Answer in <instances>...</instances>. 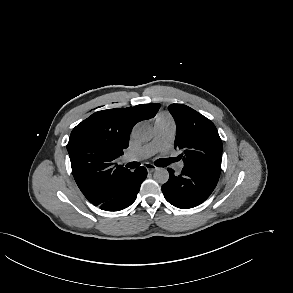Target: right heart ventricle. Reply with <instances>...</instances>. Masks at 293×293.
I'll return each mask as SVG.
<instances>
[{
    "instance_id": "e07e8e85",
    "label": "right heart ventricle",
    "mask_w": 293,
    "mask_h": 293,
    "mask_svg": "<svg viewBox=\"0 0 293 293\" xmlns=\"http://www.w3.org/2000/svg\"><path fill=\"white\" fill-rule=\"evenodd\" d=\"M156 122L173 123V120L168 114L163 113L158 116Z\"/></svg>"
}]
</instances>
